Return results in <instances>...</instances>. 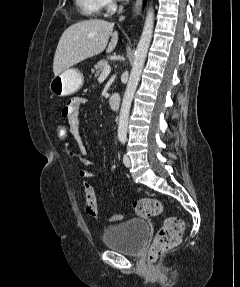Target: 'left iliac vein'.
<instances>
[{
    "label": "left iliac vein",
    "instance_id": "1",
    "mask_svg": "<svg viewBox=\"0 0 240 287\" xmlns=\"http://www.w3.org/2000/svg\"><path fill=\"white\" fill-rule=\"evenodd\" d=\"M123 163L126 167H130L131 166V161H130V158L127 154H125L123 156Z\"/></svg>",
    "mask_w": 240,
    "mask_h": 287
}]
</instances>
